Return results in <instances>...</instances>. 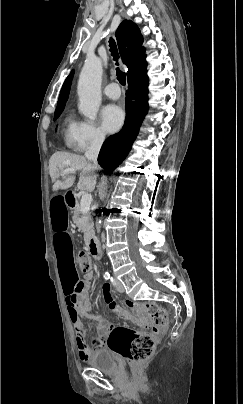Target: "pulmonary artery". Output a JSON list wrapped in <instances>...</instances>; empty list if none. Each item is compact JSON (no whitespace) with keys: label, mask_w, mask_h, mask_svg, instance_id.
Returning a JSON list of instances; mask_svg holds the SVG:
<instances>
[{"label":"pulmonary artery","mask_w":243,"mask_h":404,"mask_svg":"<svg viewBox=\"0 0 243 404\" xmlns=\"http://www.w3.org/2000/svg\"><path fill=\"white\" fill-rule=\"evenodd\" d=\"M104 94L110 99H118L121 95L120 86L117 83H110L104 88Z\"/></svg>","instance_id":"obj_1"}]
</instances>
